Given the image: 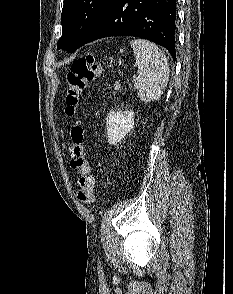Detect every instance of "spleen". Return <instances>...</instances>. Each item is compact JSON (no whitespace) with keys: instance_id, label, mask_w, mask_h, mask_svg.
Masks as SVG:
<instances>
[{"instance_id":"1","label":"spleen","mask_w":233,"mask_h":294,"mask_svg":"<svg viewBox=\"0 0 233 294\" xmlns=\"http://www.w3.org/2000/svg\"><path fill=\"white\" fill-rule=\"evenodd\" d=\"M138 67L136 88L141 101L158 100L169 80V64L164 53L154 43L144 39L130 41Z\"/></svg>"}]
</instances>
